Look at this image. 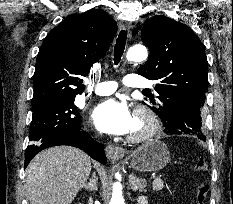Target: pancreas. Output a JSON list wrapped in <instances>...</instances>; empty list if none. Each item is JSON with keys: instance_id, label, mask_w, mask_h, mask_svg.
Segmentation results:
<instances>
[{"instance_id": "pancreas-1", "label": "pancreas", "mask_w": 233, "mask_h": 204, "mask_svg": "<svg viewBox=\"0 0 233 204\" xmlns=\"http://www.w3.org/2000/svg\"><path fill=\"white\" fill-rule=\"evenodd\" d=\"M164 187V182L160 179V180H154L152 183V189L154 191H160L161 189H163Z\"/></svg>"}]
</instances>
